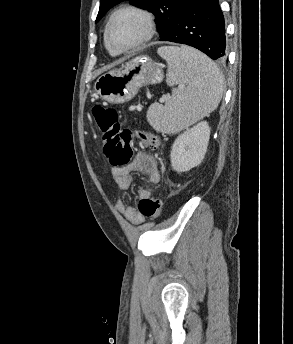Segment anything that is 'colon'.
<instances>
[{"label":"colon","instance_id":"1","mask_svg":"<svg viewBox=\"0 0 293 344\" xmlns=\"http://www.w3.org/2000/svg\"><path fill=\"white\" fill-rule=\"evenodd\" d=\"M92 115L103 142V152L112 167L121 168L129 164L136 141L150 149L159 146V139L150 132L138 130L133 133L128 129H121L120 112L115 108L95 105ZM138 210L145 217L157 218L162 212V201L156 196L143 198Z\"/></svg>","mask_w":293,"mask_h":344}]
</instances>
